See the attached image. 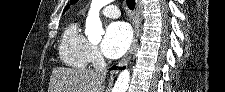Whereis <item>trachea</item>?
Returning a JSON list of instances; mask_svg holds the SVG:
<instances>
[{
	"label": "trachea",
	"mask_w": 225,
	"mask_h": 92,
	"mask_svg": "<svg viewBox=\"0 0 225 92\" xmlns=\"http://www.w3.org/2000/svg\"><path fill=\"white\" fill-rule=\"evenodd\" d=\"M127 6L130 10H134L135 8V0H126Z\"/></svg>",
	"instance_id": "3493384b"
}]
</instances>
